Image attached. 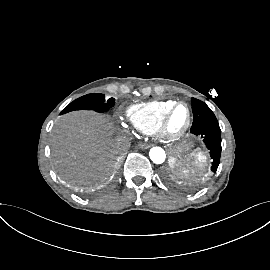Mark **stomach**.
I'll return each mask as SVG.
<instances>
[{
	"label": "stomach",
	"mask_w": 270,
	"mask_h": 270,
	"mask_svg": "<svg viewBox=\"0 0 270 270\" xmlns=\"http://www.w3.org/2000/svg\"><path fill=\"white\" fill-rule=\"evenodd\" d=\"M191 147L192 142L190 140H184L177 145L170 146L169 165L175 174L183 175L188 172V168L182 162L185 154Z\"/></svg>",
	"instance_id": "stomach-1"
}]
</instances>
